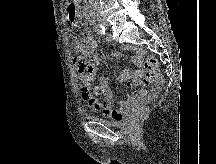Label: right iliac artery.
I'll use <instances>...</instances> for the list:
<instances>
[{
	"mask_svg": "<svg viewBox=\"0 0 216 164\" xmlns=\"http://www.w3.org/2000/svg\"><path fill=\"white\" fill-rule=\"evenodd\" d=\"M94 30H95V32H97V34H99V35H104L105 34V28H104V26L102 25V24H96L95 26H94Z\"/></svg>",
	"mask_w": 216,
	"mask_h": 164,
	"instance_id": "right-iliac-artery-1",
	"label": "right iliac artery"
}]
</instances>
